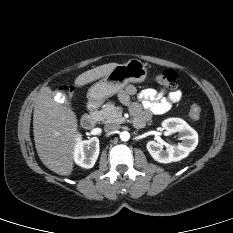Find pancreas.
<instances>
[{"label":"pancreas","instance_id":"1","mask_svg":"<svg viewBox=\"0 0 233 233\" xmlns=\"http://www.w3.org/2000/svg\"><path fill=\"white\" fill-rule=\"evenodd\" d=\"M99 120L104 123H122L124 118L122 117V110L116 107L113 103H108L100 111L96 112Z\"/></svg>","mask_w":233,"mask_h":233}]
</instances>
